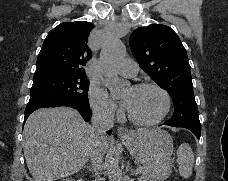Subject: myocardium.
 Listing matches in <instances>:
<instances>
[{
    "label": "myocardium",
    "instance_id": "1",
    "mask_svg": "<svg viewBox=\"0 0 228 181\" xmlns=\"http://www.w3.org/2000/svg\"><path fill=\"white\" fill-rule=\"evenodd\" d=\"M145 87H150L155 89L162 97V107L159 111V113L148 120H142L137 117H135L129 109H127V116L128 118L135 124L137 125H142V126H152L155 125L156 123L160 122L167 114L170 106V98L167 92L160 87L158 84L154 82H149V81H141V82H131V88L132 89H140V88H145Z\"/></svg>",
    "mask_w": 228,
    "mask_h": 181
}]
</instances>
